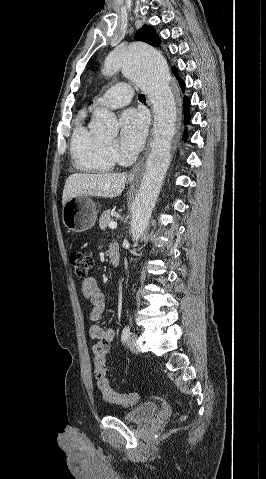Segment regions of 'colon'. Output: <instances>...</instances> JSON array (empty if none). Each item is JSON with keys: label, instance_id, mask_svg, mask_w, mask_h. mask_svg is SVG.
I'll return each mask as SVG.
<instances>
[{"label": "colon", "instance_id": "5ec220e1", "mask_svg": "<svg viewBox=\"0 0 266 479\" xmlns=\"http://www.w3.org/2000/svg\"><path fill=\"white\" fill-rule=\"evenodd\" d=\"M70 262L78 277L87 278L93 264L91 256L82 251H73L70 255ZM108 350L109 343L106 341H99L94 345L93 364L96 386L108 403L119 404L122 406L134 405L139 400L138 393L130 392L120 394L110 385L107 376L106 360Z\"/></svg>", "mask_w": 266, "mask_h": 479}]
</instances>
